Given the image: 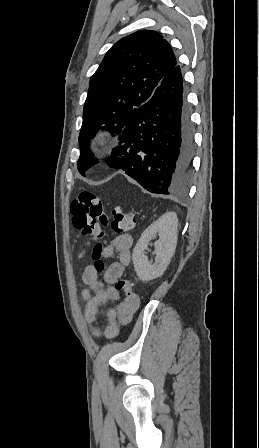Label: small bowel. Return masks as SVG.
I'll return each mask as SVG.
<instances>
[{
  "label": "small bowel",
  "instance_id": "c3829d8e",
  "mask_svg": "<svg viewBox=\"0 0 259 448\" xmlns=\"http://www.w3.org/2000/svg\"><path fill=\"white\" fill-rule=\"evenodd\" d=\"M133 239L129 234H121L115 237L110 244L104 248L103 256L110 258L117 254V261L112 263L103 274V280L99 279V273L93 265H88L83 271V281L88 289L82 293L85 302L84 313L88 323L95 321L101 308H108L106 312L108 324L104 330L106 339L115 338L121 325L128 324L139 305L136 295L119 302L114 308L110 307L113 301L120 299L119 291L114 284L121 278L125 268L130 264V249ZM96 339L101 337V332L97 328L91 329Z\"/></svg>",
  "mask_w": 259,
  "mask_h": 448
}]
</instances>
